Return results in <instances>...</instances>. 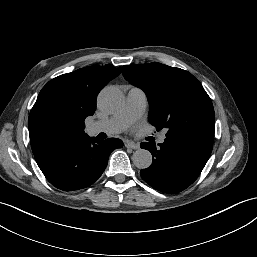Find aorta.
<instances>
[{
	"instance_id": "762f6f07",
	"label": "aorta",
	"mask_w": 257,
	"mask_h": 257,
	"mask_svg": "<svg viewBox=\"0 0 257 257\" xmlns=\"http://www.w3.org/2000/svg\"><path fill=\"white\" fill-rule=\"evenodd\" d=\"M98 102L103 110L114 112L122 106L124 98L118 88L106 87L100 92ZM132 161L137 168L146 169L152 164V155L146 149H138L133 153Z\"/></svg>"
}]
</instances>
